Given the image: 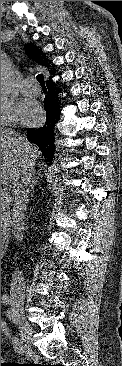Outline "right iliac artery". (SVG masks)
Returning a JSON list of instances; mask_svg holds the SVG:
<instances>
[{"instance_id":"right-iliac-artery-1","label":"right iliac artery","mask_w":122,"mask_h":366,"mask_svg":"<svg viewBox=\"0 0 122 366\" xmlns=\"http://www.w3.org/2000/svg\"><path fill=\"white\" fill-rule=\"evenodd\" d=\"M9 302H10V297L8 295L5 294L1 297V303H3L4 305L9 304Z\"/></svg>"}]
</instances>
